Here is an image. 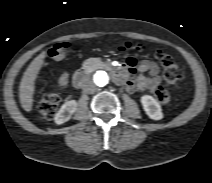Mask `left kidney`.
Returning <instances> with one entry per match:
<instances>
[{
	"label": "left kidney",
	"mask_w": 212,
	"mask_h": 183,
	"mask_svg": "<svg viewBox=\"0 0 212 183\" xmlns=\"http://www.w3.org/2000/svg\"><path fill=\"white\" fill-rule=\"evenodd\" d=\"M141 103L145 113L153 120H161L163 113L160 104L150 95H143Z\"/></svg>",
	"instance_id": "1"
}]
</instances>
